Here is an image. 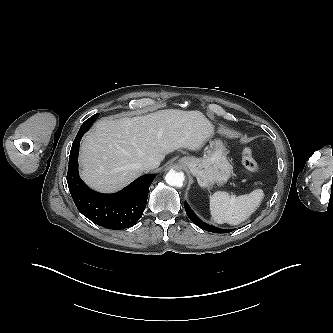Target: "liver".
<instances>
[{
	"label": "liver",
	"instance_id": "obj_1",
	"mask_svg": "<svg viewBox=\"0 0 333 333\" xmlns=\"http://www.w3.org/2000/svg\"><path fill=\"white\" fill-rule=\"evenodd\" d=\"M212 134V124L199 111L166 109L133 118H103L83 138L81 177L95 190L115 192L143 173L144 160L161 162L179 148L199 150Z\"/></svg>",
	"mask_w": 333,
	"mask_h": 333
}]
</instances>
